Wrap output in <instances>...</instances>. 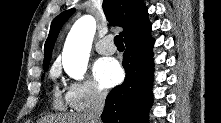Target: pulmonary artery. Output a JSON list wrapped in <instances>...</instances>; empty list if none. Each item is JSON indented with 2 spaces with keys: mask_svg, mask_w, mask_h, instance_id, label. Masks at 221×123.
<instances>
[{
  "mask_svg": "<svg viewBox=\"0 0 221 123\" xmlns=\"http://www.w3.org/2000/svg\"><path fill=\"white\" fill-rule=\"evenodd\" d=\"M95 48L97 52H99L100 54H104V55H110L116 51V48L110 37H106L98 41Z\"/></svg>",
  "mask_w": 221,
  "mask_h": 123,
  "instance_id": "1",
  "label": "pulmonary artery"
}]
</instances>
